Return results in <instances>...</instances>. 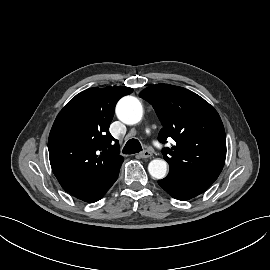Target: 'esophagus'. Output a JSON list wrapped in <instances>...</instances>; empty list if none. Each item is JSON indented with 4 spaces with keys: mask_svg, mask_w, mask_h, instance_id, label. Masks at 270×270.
<instances>
[{
    "mask_svg": "<svg viewBox=\"0 0 270 270\" xmlns=\"http://www.w3.org/2000/svg\"><path fill=\"white\" fill-rule=\"evenodd\" d=\"M151 156H152V152L149 150H144L139 153V157L142 159H147V158H150Z\"/></svg>",
    "mask_w": 270,
    "mask_h": 270,
    "instance_id": "esophagus-1",
    "label": "esophagus"
}]
</instances>
